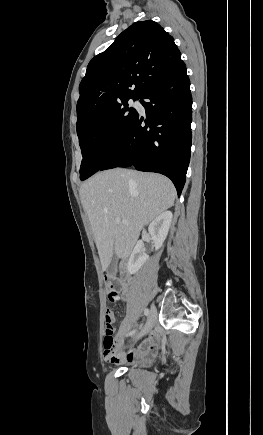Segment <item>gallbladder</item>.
<instances>
[{
	"instance_id": "obj_1",
	"label": "gallbladder",
	"mask_w": 263,
	"mask_h": 435,
	"mask_svg": "<svg viewBox=\"0 0 263 435\" xmlns=\"http://www.w3.org/2000/svg\"><path fill=\"white\" fill-rule=\"evenodd\" d=\"M117 271H118V258L116 255H114L108 266L107 273L109 275H115Z\"/></svg>"
}]
</instances>
